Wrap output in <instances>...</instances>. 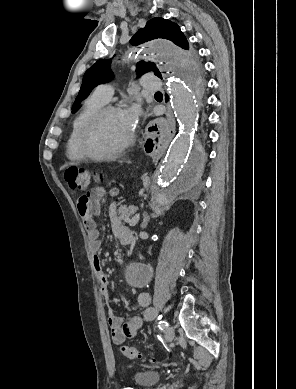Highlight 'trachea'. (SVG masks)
I'll list each match as a JSON object with an SVG mask.
<instances>
[{"label": "trachea", "instance_id": "obj_1", "mask_svg": "<svg viewBox=\"0 0 296 389\" xmlns=\"http://www.w3.org/2000/svg\"><path fill=\"white\" fill-rule=\"evenodd\" d=\"M155 94H156V95H162V93H161V92H156Z\"/></svg>", "mask_w": 296, "mask_h": 389}]
</instances>
